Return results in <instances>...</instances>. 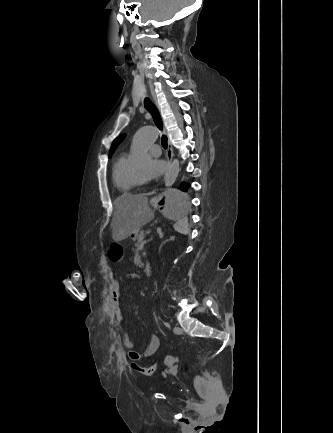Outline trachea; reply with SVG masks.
I'll return each mask as SVG.
<instances>
[{
	"instance_id": "obj_1",
	"label": "trachea",
	"mask_w": 333,
	"mask_h": 433,
	"mask_svg": "<svg viewBox=\"0 0 333 433\" xmlns=\"http://www.w3.org/2000/svg\"><path fill=\"white\" fill-rule=\"evenodd\" d=\"M144 107L152 115L155 125L160 130H163V123L161 120L160 113H159L157 107L155 106V104L147 97L144 99ZM161 143H162L163 148L167 149V137L164 134L162 135Z\"/></svg>"
}]
</instances>
